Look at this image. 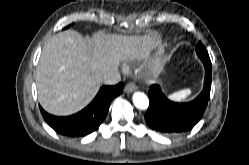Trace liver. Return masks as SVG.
<instances>
[{
  "label": "liver",
  "mask_w": 249,
  "mask_h": 165,
  "mask_svg": "<svg viewBox=\"0 0 249 165\" xmlns=\"http://www.w3.org/2000/svg\"><path fill=\"white\" fill-rule=\"evenodd\" d=\"M153 47L149 35L122 36L100 31L86 40L74 30L60 32L47 42L39 59L38 100L50 114H74L97 94L104 73L116 71L121 61L149 57Z\"/></svg>",
  "instance_id": "1"
}]
</instances>
